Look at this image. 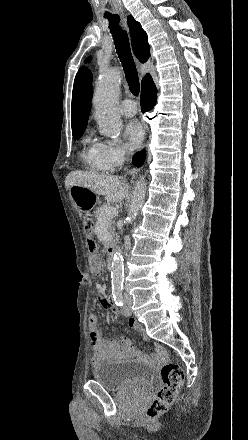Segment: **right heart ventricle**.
Returning <instances> with one entry per match:
<instances>
[{
  "mask_svg": "<svg viewBox=\"0 0 248 440\" xmlns=\"http://www.w3.org/2000/svg\"><path fill=\"white\" fill-rule=\"evenodd\" d=\"M81 160L86 169L94 173L108 172L109 169L102 161L99 143L87 137L83 141Z\"/></svg>",
  "mask_w": 248,
  "mask_h": 440,
  "instance_id": "1",
  "label": "right heart ventricle"
}]
</instances>
